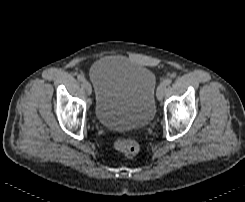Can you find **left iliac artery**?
<instances>
[{"instance_id": "1", "label": "left iliac artery", "mask_w": 245, "mask_h": 202, "mask_svg": "<svg viewBox=\"0 0 245 202\" xmlns=\"http://www.w3.org/2000/svg\"><path fill=\"white\" fill-rule=\"evenodd\" d=\"M172 83V79L171 78H165L161 84L164 85H170Z\"/></svg>"}]
</instances>
